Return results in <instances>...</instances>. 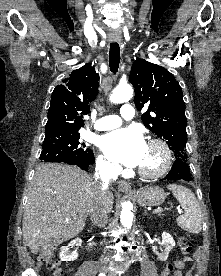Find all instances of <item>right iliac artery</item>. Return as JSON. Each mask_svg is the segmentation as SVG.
I'll return each mask as SVG.
<instances>
[{"mask_svg": "<svg viewBox=\"0 0 221 276\" xmlns=\"http://www.w3.org/2000/svg\"><path fill=\"white\" fill-rule=\"evenodd\" d=\"M99 276H105L104 274H100Z\"/></svg>", "mask_w": 221, "mask_h": 276, "instance_id": "obj_1", "label": "right iliac artery"}]
</instances>
